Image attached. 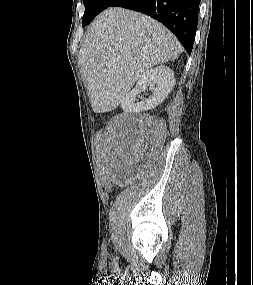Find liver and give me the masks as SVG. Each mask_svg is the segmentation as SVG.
<instances>
[{
    "mask_svg": "<svg viewBox=\"0 0 253 285\" xmlns=\"http://www.w3.org/2000/svg\"><path fill=\"white\" fill-rule=\"evenodd\" d=\"M176 37L151 17L124 8H108L90 24L79 51L92 109L112 111L151 67L176 59Z\"/></svg>",
    "mask_w": 253,
    "mask_h": 285,
    "instance_id": "1",
    "label": "liver"
}]
</instances>
